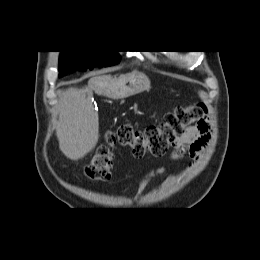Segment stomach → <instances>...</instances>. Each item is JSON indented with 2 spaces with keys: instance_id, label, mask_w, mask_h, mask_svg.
<instances>
[{
  "instance_id": "stomach-1",
  "label": "stomach",
  "mask_w": 260,
  "mask_h": 260,
  "mask_svg": "<svg viewBox=\"0 0 260 260\" xmlns=\"http://www.w3.org/2000/svg\"><path fill=\"white\" fill-rule=\"evenodd\" d=\"M150 89V80L141 73L124 75L118 78L111 92V98L123 99Z\"/></svg>"
}]
</instances>
